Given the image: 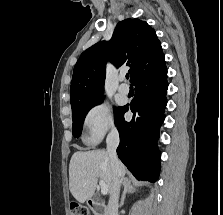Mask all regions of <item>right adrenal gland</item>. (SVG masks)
Listing matches in <instances>:
<instances>
[{
    "instance_id": "right-adrenal-gland-1",
    "label": "right adrenal gland",
    "mask_w": 223,
    "mask_h": 215,
    "mask_svg": "<svg viewBox=\"0 0 223 215\" xmlns=\"http://www.w3.org/2000/svg\"><path fill=\"white\" fill-rule=\"evenodd\" d=\"M135 187H133L132 183L130 181H125L124 183V191L122 193L121 201L119 207H122L124 205L126 193H134Z\"/></svg>"
}]
</instances>
